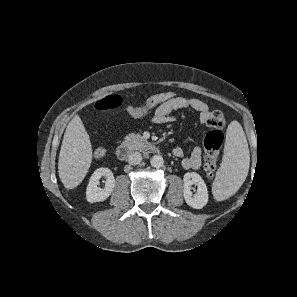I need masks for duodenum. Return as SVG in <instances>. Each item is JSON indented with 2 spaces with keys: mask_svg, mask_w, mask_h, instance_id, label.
Wrapping results in <instances>:
<instances>
[{
  "mask_svg": "<svg viewBox=\"0 0 297 297\" xmlns=\"http://www.w3.org/2000/svg\"><path fill=\"white\" fill-rule=\"evenodd\" d=\"M143 148L145 151H147L149 153H158L159 152V148L150 142H146L144 144ZM132 151H133V147L131 144L122 143L117 147L116 155L120 161H125L129 158Z\"/></svg>",
  "mask_w": 297,
  "mask_h": 297,
  "instance_id": "duodenum-1",
  "label": "duodenum"
}]
</instances>
